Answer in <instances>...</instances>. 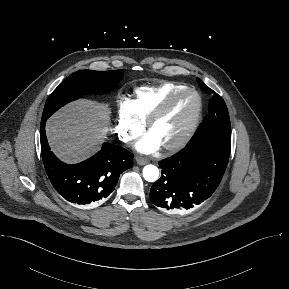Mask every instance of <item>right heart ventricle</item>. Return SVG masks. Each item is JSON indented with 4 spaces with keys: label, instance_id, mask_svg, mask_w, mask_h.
<instances>
[{
    "label": "right heart ventricle",
    "instance_id": "right-heart-ventricle-1",
    "mask_svg": "<svg viewBox=\"0 0 289 289\" xmlns=\"http://www.w3.org/2000/svg\"><path fill=\"white\" fill-rule=\"evenodd\" d=\"M186 87L176 82H166L153 86H141L135 89L132 106L135 115L143 123L152 111L172 92Z\"/></svg>",
    "mask_w": 289,
    "mask_h": 289
}]
</instances>
